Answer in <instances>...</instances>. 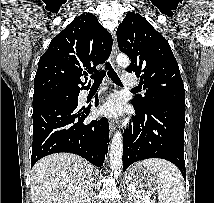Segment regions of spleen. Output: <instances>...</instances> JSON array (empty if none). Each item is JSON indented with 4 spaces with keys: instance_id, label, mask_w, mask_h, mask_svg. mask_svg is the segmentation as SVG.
I'll list each match as a JSON object with an SVG mask.
<instances>
[{
    "instance_id": "obj_1",
    "label": "spleen",
    "mask_w": 214,
    "mask_h": 203,
    "mask_svg": "<svg viewBox=\"0 0 214 203\" xmlns=\"http://www.w3.org/2000/svg\"><path fill=\"white\" fill-rule=\"evenodd\" d=\"M142 165L159 179L157 192L160 203H184L183 177L173 164L160 159H147Z\"/></svg>"
}]
</instances>
